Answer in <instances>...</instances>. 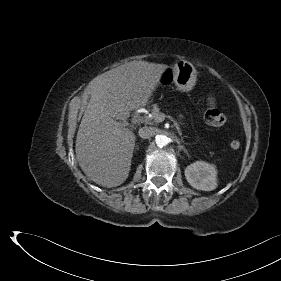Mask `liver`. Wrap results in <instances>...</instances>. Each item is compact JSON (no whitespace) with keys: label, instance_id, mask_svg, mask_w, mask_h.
Segmentation results:
<instances>
[{"label":"liver","instance_id":"obj_1","mask_svg":"<svg viewBox=\"0 0 281 281\" xmlns=\"http://www.w3.org/2000/svg\"><path fill=\"white\" fill-rule=\"evenodd\" d=\"M168 68L132 61L92 81L90 101L76 137V159L85 175L103 187H117L128 178L135 134L117 120L144 107Z\"/></svg>","mask_w":281,"mask_h":281}]
</instances>
